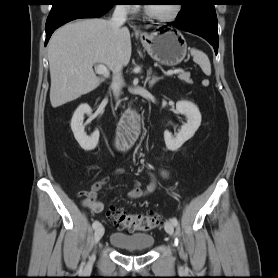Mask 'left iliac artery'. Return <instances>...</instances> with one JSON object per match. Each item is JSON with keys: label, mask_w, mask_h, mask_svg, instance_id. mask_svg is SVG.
<instances>
[{"label": "left iliac artery", "mask_w": 278, "mask_h": 278, "mask_svg": "<svg viewBox=\"0 0 278 278\" xmlns=\"http://www.w3.org/2000/svg\"><path fill=\"white\" fill-rule=\"evenodd\" d=\"M171 222L173 223L174 226H177V225H178V220H177L175 217H173V218L171 219Z\"/></svg>", "instance_id": "1"}]
</instances>
